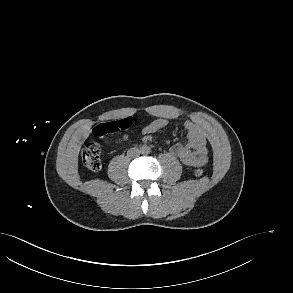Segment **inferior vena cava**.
Listing matches in <instances>:
<instances>
[{"instance_id": "1", "label": "inferior vena cava", "mask_w": 293, "mask_h": 293, "mask_svg": "<svg viewBox=\"0 0 293 293\" xmlns=\"http://www.w3.org/2000/svg\"><path fill=\"white\" fill-rule=\"evenodd\" d=\"M140 152L138 150V148H131L128 150L127 155L131 158H135L137 156H139Z\"/></svg>"}]
</instances>
